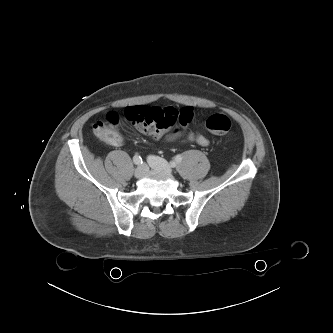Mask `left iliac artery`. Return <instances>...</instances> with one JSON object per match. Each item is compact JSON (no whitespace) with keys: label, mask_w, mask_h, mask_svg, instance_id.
Returning a JSON list of instances; mask_svg holds the SVG:
<instances>
[{"label":"left iliac artery","mask_w":333,"mask_h":333,"mask_svg":"<svg viewBox=\"0 0 333 333\" xmlns=\"http://www.w3.org/2000/svg\"><path fill=\"white\" fill-rule=\"evenodd\" d=\"M181 161H182V156L181 155H176V157L174 158V161L171 162V166L175 167Z\"/></svg>","instance_id":"left-iliac-artery-1"}]
</instances>
